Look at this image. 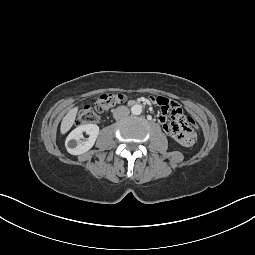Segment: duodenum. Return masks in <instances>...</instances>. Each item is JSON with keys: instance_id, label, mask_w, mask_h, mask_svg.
I'll list each match as a JSON object with an SVG mask.
<instances>
[{"instance_id": "duodenum-1", "label": "duodenum", "mask_w": 255, "mask_h": 255, "mask_svg": "<svg viewBox=\"0 0 255 255\" xmlns=\"http://www.w3.org/2000/svg\"><path fill=\"white\" fill-rule=\"evenodd\" d=\"M136 102L134 100H129L128 101V104L132 105V104H135Z\"/></svg>"}]
</instances>
